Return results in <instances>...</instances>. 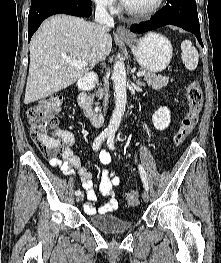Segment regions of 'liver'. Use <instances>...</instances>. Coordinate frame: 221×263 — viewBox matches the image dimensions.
Instances as JSON below:
<instances>
[{
  "label": "liver",
  "mask_w": 221,
  "mask_h": 263,
  "mask_svg": "<svg viewBox=\"0 0 221 263\" xmlns=\"http://www.w3.org/2000/svg\"><path fill=\"white\" fill-rule=\"evenodd\" d=\"M110 28L69 15L46 20L33 37L24 103L48 97L74 84L112 49ZM68 59L87 63L73 66Z\"/></svg>",
  "instance_id": "6515ba94"
}]
</instances>
